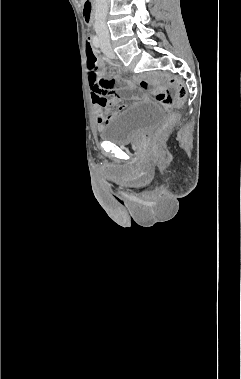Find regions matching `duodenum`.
<instances>
[{"label":"duodenum","mask_w":241,"mask_h":379,"mask_svg":"<svg viewBox=\"0 0 241 379\" xmlns=\"http://www.w3.org/2000/svg\"><path fill=\"white\" fill-rule=\"evenodd\" d=\"M83 13L87 22L91 23L94 20L93 4L91 0H85L83 5Z\"/></svg>","instance_id":"1"}]
</instances>
